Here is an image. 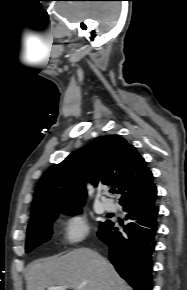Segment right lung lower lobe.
Segmentation results:
<instances>
[{
    "label": "right lung lower lobe",
    "mask_w": 187,
    "mask_h": 290,
    "mask_svg": "<svg viewBox=\"0 0 187 290\" xmlns=\"http://www.w3.org/2000/svg\"><path fill=\"white\" fill-rule=\"evenodd\" d=\"M128 225L124 233L108 221L97 232L109 246V259L117 272L134 290H152V255L156 246L159 208L155 200L123 208Z\"/></svg>",
    "instance_id": "98d812e1"
}]
</instances>
